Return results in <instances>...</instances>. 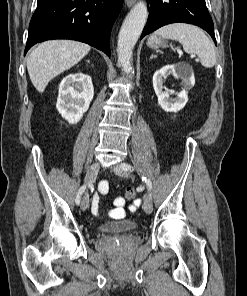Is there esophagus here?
<instances>
[{
    "label": "esophagus",
    "mask_w": 247,
    "mask_h": 296,
    "mask_svg": "<svg viewBox=\"0 0 247 296\" xmlns=\"http://www.w3.org/2000/svg\"><path fill=\"white\" fill-rule=\"evenodd\" d=\"M135 2L136 0H125V3L128 7H131Z\"/></svg>",
    "instance_id": "1"
}]
</instances>
